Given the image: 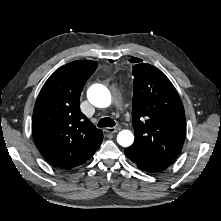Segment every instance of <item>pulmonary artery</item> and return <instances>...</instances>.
I'll use <instances>...</instances> for the list:
<instances>
[{"instance_id": "pulmonary-artery-1", "label": "pulmonary artery", "mask_w": 221, "mask_h": 221, "mask_svg": "<svg viewBox=\"0 0 221 221\" xmlns=\"http://www.w3.org/2000/svg\"><path fill=\"white\" fill-rule=\"evenodd\" d=\"M118 108L121 109L122 108V102L118 101Z\"/></svg>"}]
</instances>
